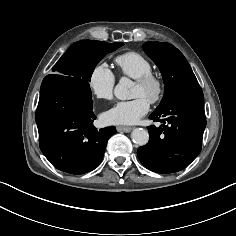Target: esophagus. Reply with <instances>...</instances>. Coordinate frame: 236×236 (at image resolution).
Listing matches in <instances>:
<instances>
[{"label": "esophagus", "instance_id": "esophagus-1", "mask_svg": "<svg viewBox=\"0 0 236 236\" xmlns=\"http://www.w3.org/2000/svg\"><path fill=\"white\" fill-rule=\"evenodd\" d=\"M116 129L118 132H130L132 127L117 126Z\"/></svg>", "mask_w": 236, "mask_h": 236}]
</instances>
